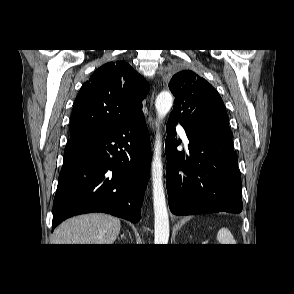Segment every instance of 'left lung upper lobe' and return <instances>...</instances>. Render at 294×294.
<instances>
[{"instance_id": "5c2ea615", "label": "left lung upper lobe", "mask_w": 294, "mask_h": 294, "mask_svg": "<svg viewBox=\"0 0 294 294\" xmlns=\"http://www.w3.org/2000/svg\"><path fill=\"white\" fill-rule=\"evenodd\" d=\"M169 88L175 96L169 119L188 132L232 137L223 100L204 78L183 70L172 77Z\"/></svg>"}]
</instances>
